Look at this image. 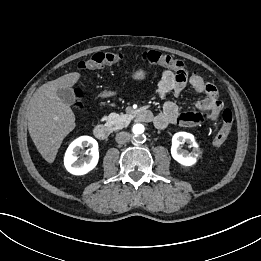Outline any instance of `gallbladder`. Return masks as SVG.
Instances as JSON below:
<instances>
[{
    "instance_id": "1",
    "label": "gallbladder",
    "mask_w": 261,
    "mask_h": 261,
    "mask_svg": "<svg viewBox=\"0 0 261 261\" xmlns=\"http://www.w3.org/2000/svg\"><path fill=\"white\" fill-rule=\"evenodd\" d=\"M57 96L67 105H72L76 101V95L71 88L58 89Z\"/></svg>"
}]
</instances>
